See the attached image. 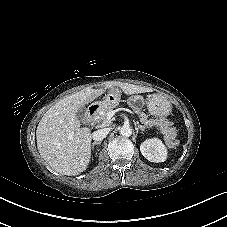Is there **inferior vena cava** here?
Masks as SVG:
<instances>
[{
    "mask_svg": "<svg viewBox=\"0 0 227 227\" xmlns=\"http://www.w3.org/2000/svg\"><path fill=\"white\" fill-rule=\"evenodd\" d=\"M109 131H110L109 128L98 129V130L93 132L92 138L95 141H101L107 136Z\"/></svg>",
    "mask_w": 227,
    "mask_h": 227,
    "instance_id": "602c4592",
    "label": "inferior vena cava"
}]
</instances>
